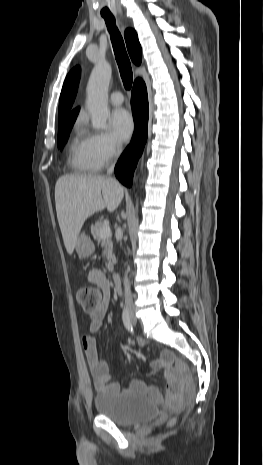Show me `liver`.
<instances>
[{"mask_svg": "<svg viewBox=\"0 0 263 465\" xmlns=\"http://www.w3.org/2000/svg\"><path fill=\"white\" fill-rule=\"evenodd\" d=\"M124 196L123 188L98 175H63L55 185V203L59 227L69 255L84 222L107 208L113 212Z\"/></svg>", "mask_w": 263, "mask_h": 465, "instance_id": "1", "label": "liver"}]
</instances>
